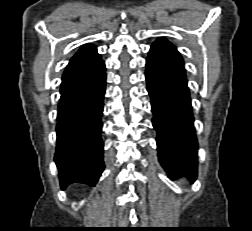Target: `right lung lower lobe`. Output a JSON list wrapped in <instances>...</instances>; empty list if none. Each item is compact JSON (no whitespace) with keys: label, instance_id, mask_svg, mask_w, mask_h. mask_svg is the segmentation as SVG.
<instances>
[{"label":"right lung lower lobe","instance_id":"obj_1","mask_svg":"<svg viewBox=\"0 0 252 231\" xmlns=\"http://www.w3.org/2000/svg\"><path fill=\"white\" fill-rule=\"evenodd\" d=\"M105 71L98 77L60 92L55 162L62 189L72 183L94 186L104 169L100 133Z\"/></svg>","mask_w":252,"mask_h":231}]
</instances>
